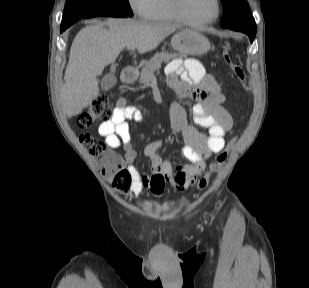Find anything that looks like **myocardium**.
I'll return each mask as SVG.
<instances>
[{
  "label": "myocardium",
  "mask_w": 309,
  "mask_h": 288,
  "mask_svg": "<svg viewBox=\"0 0 309 288\" xmlns=\"http://www.w3.org/2000/svg\"><path fill=\"white\" fill-rule=\"evenodd\" d=\"M182 2L183 0H171L173 13L179 22L185 25H188L190 27H194V28L205 27L217 21V19L221 15V11H222L221 1L215 0L216 10H215V14L211 18L207 20H203V21H193L189 19L188 17H186V15L184 14L183 8H182Z\"/></svg>",
  "instance_id": "obj_1"
}]
</instances>
